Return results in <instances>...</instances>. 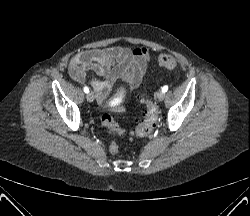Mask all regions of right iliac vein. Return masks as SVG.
Returning a JSON list of instances; mask_svg holds the SVG:
<instances>
[{
	"label": "right iliac vein",
	"mask_w": 250,
	"mask_h": 216,
	"mask_svg": "<svg viewBox=\"0 0 250 216\" xmlns=\"http://www.w3.org/2000/svg\"><path fill=\"white\" fill-rule=\"evenodd\" d=\"M86 98H87V101H89V102H93L94 101V95H93V93H88L87 94V96H86Z\"/></svg>",
	"instance_id": "63e3f726"
}]
</instances>
